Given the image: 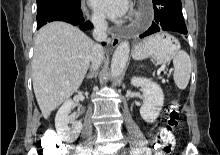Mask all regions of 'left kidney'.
Here are the masks:
<instances>
[{
    "label": "left kidney",
    "mask_w": 220,
    "mask_h": 155,
    "mask_svg": "<svg viewBox=\"0 0 220 155\" xmlns=\"http://www.w3.org/2000/svg\"><path fill=\"white\" fill-rule=\"evenodd\" d=\"M133 86H140L143 92V105L140 108V115L146 122H154L162 110L164 95L161 87L151 79L133 77Z\"/></svg>",
    "instance_id": "obj_1"
}]
</instances>
